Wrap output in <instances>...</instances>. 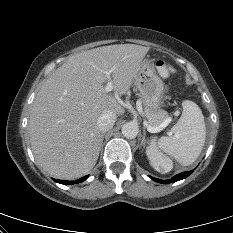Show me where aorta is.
Segmentation results:
<instances>
[{"instance_id": "aorta-1", "label": "aorta", "mask_w": 233, "mask_h": 233, "mask_svg": "<svg viewBox=\"0 0 233 233\" xmlns=\"http://www.w3.org/2000/svg\"><path fill=\"white\" fill-rule=\"evenodd\" d=\"M122 134L124 137L129 138V139H133L138 135L139 132V128L138 125L132 122L129 123H125L122 126Z\"/></svg>"}]
</instances>
